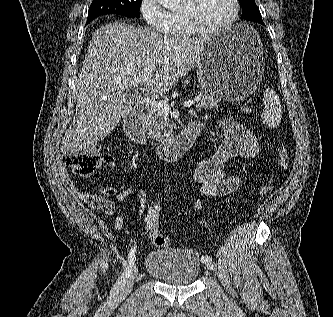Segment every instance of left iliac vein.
<instances>
[{"label":"left iliac vein","mask_w":333,"mask_h":317,"mask_svg":"<svg viewBox=\"0 0 333 317\" xmlns=\"http://www.w3.org/2000/svg\"><path fill=\"white\" fill-rule=\"evenodd\" d=\"M207 268L211 271H215L216 270V264L214 261L210 260L207 262Z\"/></svg>","instance_id":"1"}]
</instances>
